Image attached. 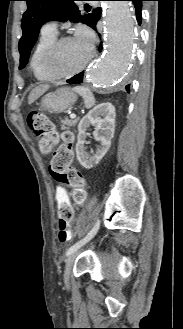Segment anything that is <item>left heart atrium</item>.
I'll return each mask as SVG.
<instances>
[{"label":"left heart atrium","mask_w":183,"mask_h":329,"mask_svg":"<svg viewBox=\"0 0 183 329\" xmlns=\"http://www.w3.org/2000/svg\"><path fill=\"white\" fill-rule=\"evenodd\" d=\"M74 39L85 48L91 49L94 42V35L90 29L83 25H79L76 28Z\"/></svg>","instance_id":"obj_1"}]
</instances>
